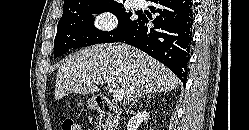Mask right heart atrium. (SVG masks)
I'll list each match as a JSON object with an SVG mask.
<instances>
[{
    "instance_id": "d8ad5b80",
    "label": "right heart atrium",
    "mask_w": 249,
    "mask_h": 130,
    "mask_svg": "<svg viewBox=\"0 0 249 130\" xmlns=\"http://www.w3.org/2000/svg\"><path fill=\"white\" fill-rule=\"evenodd\" d=\"M118 20L116 15L110 10H101L91 18V25L100 32H111L116 28Z\"/></svg>"
}]
</instances>
